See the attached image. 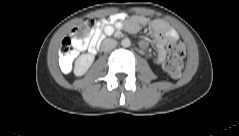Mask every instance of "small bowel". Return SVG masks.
I'll use <instances>...</instances> for the list:
<instances>
[{"label":"small bowel","mask_w":239,"mask_h":136,"mask_svg":"<svg viewBox=\"0 0 239 136\" xmlns=\"http://www.w3.org/2000/svg\"><path fill=\"white\" fill-rule=\"evenodd\" d=\"M150 25L152 35L157 39V53L155 62L163 64L167 57V42H176L179 40V35L165 20L153 19L150 20L145 16H133L127 18L125 14L118 13L111 16L109 19L100 21V27L96 28L91 35L75 44L77 51H84L90 48L97 40L105 34H112L115 29L125 27L131 33H137L142 27Z\"/></svg>","instance_id":"small-bowel-1"}]
</instances>
